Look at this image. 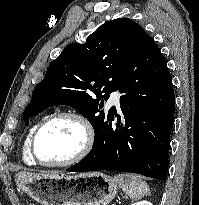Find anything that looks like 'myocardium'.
<instances>
[{
  "instance_id": "1",
  "label": "myocardium",
  "mask_w": 199,
  "mask_h": 205,
  "mask_svg": "<svg viewBox=\"0 0 199 205\" xmlns=\"http://www.w3.org/2000/svg\"><path fill=\"white\" fill-rule=\"evenodd\" d=\"M60 119L75 120L83 130V142L80 149L72 157L59 162L42 161L36 152V141L39 134L52 122ZM95 142V132L91 122L86 116L76 111L58 112L47 117L33 132L29 142V152L33 161L45 167H64L69 166L82 160L93 148Z\"/></svg>"
}]
</instances>
